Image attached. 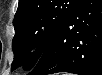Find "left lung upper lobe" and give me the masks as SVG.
<instances>
[{
	"mask_svg": "<svg viewBox=\"0 0 102 75\" xmlns=\"http://www.w3.org/2000/svg\"><path fill=\"white\" fill-rule=\"evenodd\" d=\"M82 0H19L13 25L15 36L12 41L14 60L13 71L24 64L31 69L58 26L74 11ZM39 48L35 56H30L32 47Z\"/></svg>",
	"mask_w": 102,
	"mask_h": 75,
	"instance_id": "left-lung-upper-lobe-1",
	"label": "left lung upper lobe"
}]
</instances>
